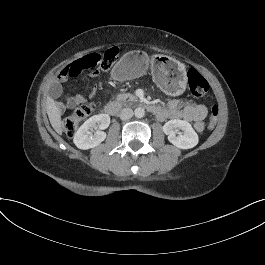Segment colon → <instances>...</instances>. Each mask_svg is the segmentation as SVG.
I'll return each instance as SVG.
<instances>
[{
	"label": "colon",
	"instance_id": "colon-1",
	"mask_svg": "<svg viewBox=\"0 0 265 265\" xmlns=\"http://www.w3.org/2000/svg\"><path fill=\"white\" fill-rule=\"evenodd\" d=\"M118 51L116 48L106 50L103 54L91 53L72 62L66 66L60 73L59 79L64 80L78 76L81 72L89 69L98 71H106L114 64ZM188 87L191 94L196 98H202L209 90L207 80L195 69H190L187 72ZM92 105H81L76 108L70 115L62 121L63 131L72 136L78 129L80 124L92 113ZM219 115L218 105H213L211 114L207 123V128L212 130L215 128Z\"/></svg>",
	"mask_w": 265,
	"mask_h": 265
}]
</instances>
